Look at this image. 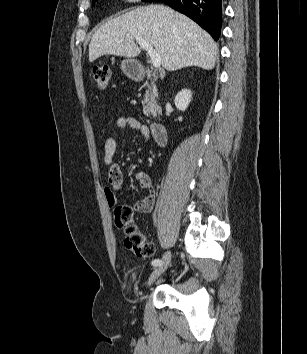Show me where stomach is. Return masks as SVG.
<instances>
[{
    "label": "stomach",
    "instance_id": "stomach-1",
    "mask_svg": "<svg viewBox=\"0 0 307 354\" xmlns=\"http://www.w3.org/2000/svg\"><path fill=\"white\" fill-rule=\"evenodd\" d=\"M121 69L129 78L138 79L141 76L140 64L135 59H124L121 62Z\"/></svg>",
    "mask_w": 307,
    "mask_h": 354
}]
</instances>
